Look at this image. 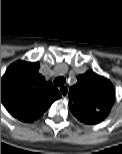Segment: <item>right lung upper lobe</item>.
Masks as SVG:
<instances>
[{"mask_svg": "<svg viewBox=\"0 0 122 154\" xmlns=\"http://www.w3.org/2000/svg\"><path fill=\"white\" fill-rule=\"evenodd\" d=\"M39 68L38 62L17 61L1 79V99L4 106L23 122L40 118L61 97L52 82L45 81Z\"/></svg>", "mask_w": 122, "mask_h": 154, "instance_id": "1", "label": "right lung upper lobe"}]
</instances>
